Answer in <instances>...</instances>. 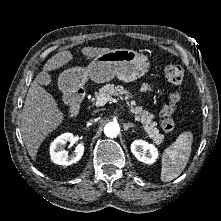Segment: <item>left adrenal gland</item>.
Masks as SVG:
<instances>
[{
    "label": "left adrenal gland",
    "instance_id": "a2214340",
    "mask_svg": "<svg viewBox=\"0 0 221 221\" xmlns=\"http://www.w3.org/2000/svg\"><path fill=\"white\" fill-rule=\"evenodd\" d=\"M123 126H124L125 131H128L129 128H134L135 127V125L133 123H130V122L129 123H124Z\"/></svg>",
    "mask_w": 221,
    "mask_h": 221
}]
</instances>
